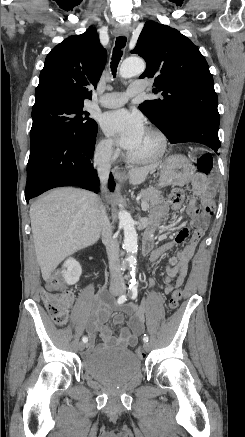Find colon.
Returning a JSON list of instances; mask_svg holds the SVG:
<instances>
[{
    "mask_svg": "<svg viewBox=\"0 0 245 437\" xmlns=\"http://www.w3.org/2000/svg\"><path fill=\"white\" fill-rule=\"evenodd\" d=\"M212 167L213 159L211 154L208 152L200 153L197 159L198 171L207 176L212 171ZM183 200L184 191L182 189L176 188L170 193V202L180 204ZM204 210L208 215L213 213L214 206L211 194L206 199ZM42 297L53 321L57 325H64L68 318V307L73 300V294L70 291L63 290V282L59 275H55L47 280L46 289L43 291ZM181 298L182 291L180 289H175L169 299L168 305L170 310L177 308ZM135 353L140 357L144 356V351L139 346L135 348Z\"/></svg>",
    "mask_w": 245,
    "mask_h": 437,
    "instance_id": "colon-1",
    "label": "colon"
}]
</instances>
